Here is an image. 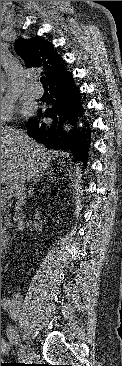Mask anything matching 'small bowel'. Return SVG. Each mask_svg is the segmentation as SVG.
Wrapping results in <instances>:
<instances>
[{
  "label": "small bowel",
  "mask_w": 122,
  "mask_h": 366,
  "mask_svg": "<svg viewBox=\"0 0 122 366\" xmlns=\"http://www.w3.org/2000/svg\"><path fill=\"white\" fill-rule=\"evenodd\" d=\"M6 349H7L6 343L2 342L1 343V355L6 352Z\"/></svg>",
  "instance_id": "obj_1"
}]
</instances>
